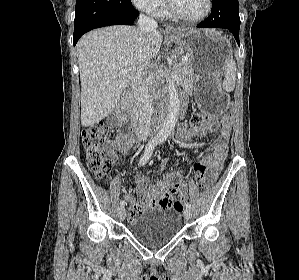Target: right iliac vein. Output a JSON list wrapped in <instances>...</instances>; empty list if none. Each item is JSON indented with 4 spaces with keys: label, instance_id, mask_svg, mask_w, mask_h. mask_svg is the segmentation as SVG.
I'll list each match as a JSON object with an SVG mask.
<instances>
[{
    "label": "right iliac vein",
    "instance_id": "63e3f726",
    "mask_svg": "<svg viewBox=\"0 0 299 280\" xmlns=\"http://www.w3.org/2000/svg\"><path fill=\"white\" fill-rule=\"evenodd\" d=\"M118 214H119L120 220H124L125 219V217H126V210H125L124 206H121L119 208V213Z\"/></svg>",
    "mask_w": 299,
    "mask_h": 280
}]
</instances>
